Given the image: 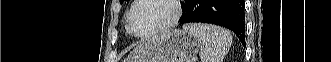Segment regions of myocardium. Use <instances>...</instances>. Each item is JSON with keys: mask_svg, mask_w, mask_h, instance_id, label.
Masks as SVG:
<instances>
[{"mask_svg": "<svg viewBox=\"0 0 331 62\" xmlns=\"http://www.w3.org/2000/svg\"><path fill=\"white\" fill-rule=\"evenodd\" d=\"M144 0H135L131 6V8L129 9L128 13H127V18H126V26L127 29L129 31V33L137 38H150L152 36L158 35L162 32H165L167 30H169L170 28H172L180 19L181 14H182V8H181V3L178 0H167L171 3L173 9H174V13L173 16L170 18L169 21H167L164 25H162L161 27L154 29L150 32L147 33H137L132 26V14L133 11L135 10V8Z\"/></svg>", "mask_w": 331, "mask_h": 62, "instance_id": "obj_1", "label": "myocardium"}]
</instances>
